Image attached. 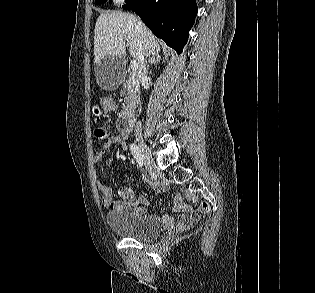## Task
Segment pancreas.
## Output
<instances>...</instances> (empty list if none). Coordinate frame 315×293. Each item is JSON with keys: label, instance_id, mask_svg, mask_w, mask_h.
Returning <instances> with one entry per match:
<instances>
[{"label": "pancreas", "instance_id": "1", "mask_svg": "<svg viewBox=\"0 0 315 293\" xmlns=\"http://www.w3.org/2000/svg\"><path fill=\"white\" fill-rule=\"evenodd\" d=\"M120 94L124 97L122 114L130 113L138 101L139 84L134 77L126 80Z\"/></svg>", "mask_w": 315, "mask_h": 293}]
</instances>
